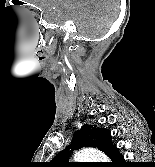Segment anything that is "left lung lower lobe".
<instances>
[{
	"instance_id": "left-lung-lower-lobe-1",
	"label": "left lung lower lobe",
	"mask_w": 155,
	"mask_h": 167,
	"mask_svg": "<svg viewBox=\"0 0 155 167\" xmlns=\"http://www.w3.org/2000/svg\"><path fill=\"white\" fill-rule=\"evenodd\" d=\"M109 158L112 160V162L109 163V167H122L121 165L125 164L123 156L118 152L116 147L109 155Z\"/></svg>"
}]
</instances>
